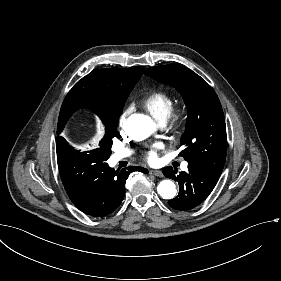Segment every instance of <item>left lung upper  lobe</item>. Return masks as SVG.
I'll use <instances>...</instances> for the list:
<instances>
[{
    "label": "left lung upper lobe",
    "mask_w": 281,
    "mask_h": 281,
    "mask_svg": "<svg viewBox=\"0 0 281 281\" xmlns=\"http://www.w3.org/2000/svg\"><path fill=\"white\" fill-rule=\"evenodd\" d=\"M147 76L175 87L188 108L186 129L179 154L189 163L204 166L221 175L227 152L225 120L213 88L182 64L172 63L148 68Z\"/></svg>",
    "instance_id": "5c2ea615"
}]
</instances>
